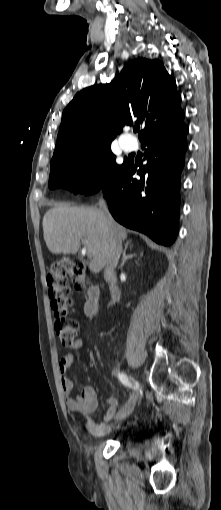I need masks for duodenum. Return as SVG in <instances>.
Returning a JSON list of instances; mask_svg holds the SVG:
<instances>
[{
	"label": "duodenum",
	"mask_w": 221,
	"mask_h": 510,
	"mask_svg": "<svg viewBox=\"0 0 221 510\" xmlns=\"http://www.w3.org/2000/svg\"><path fill=\"white\" fill-rule=\"evenodd\" d=\"M100 292L96 285L89 287L87 292V299L84 303V312L87 316H93L99 305Z\"/></svg>",
	"instance_id": "duodenum-1"
}]
</instances>
